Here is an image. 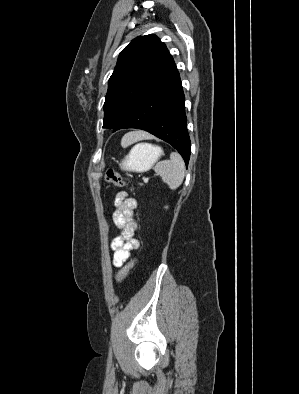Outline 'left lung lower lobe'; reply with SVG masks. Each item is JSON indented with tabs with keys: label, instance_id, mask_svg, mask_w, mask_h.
<instances>
[{
	"label": "left lung lower lobe",
	"instance_id": "obj_1",
	"mask_svg": "<svg viewBox=\"0 0 299 394\" xmlns=\"http://www.w3.org/2000/svg\"><path fill=\"white\" fill-rule=\"evenodd\" d=\"M184 102L179 72L173 63L149 85L113 131L145 130L171 144L187 166L191 145Z\"/></svg>",
	"mask_w": 299,
	"mask_h": 394
}]
</instances>
